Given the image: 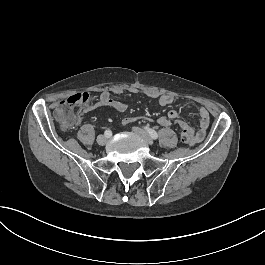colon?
Wrapping results in <instances>:
<instances>
[{
    "label": "colon",
    "mask_w": 265,
    "mask_h": 265,
    "mask_svg": "<svg viewBox=\"0 0 265 265\" xmlns=\"http://www.w3.org/2000/svg\"><path fill=\"white\" fill-rule=\"evenodd\" d=\"M94 100H95L94 94L81 93L78 95H71L69 98H66L64 100L65 106H59L56 109L57 119L62 125L65 126L70 125L74 118V112L69 107L66 106H73L80 103L81 101H94ZM181 140L186 144H191L190 135H188L184 129H182L181 132Z\"/></svg>",
    "instance_id": "5ec220e1"
}]
</instances>
